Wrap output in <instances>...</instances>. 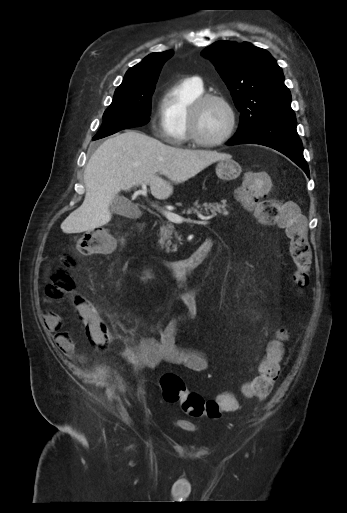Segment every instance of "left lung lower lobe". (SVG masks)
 <instances>
[{
	"instance_id": "left-lung-lower-lobe-1",
	"label": "left lung lower lobe",
	"mask_w": 347,
	"mask_h": 513,
	"mask_svg": "<svg viewBox=\"0 0 347 513\" xmlns=\"http://www.w3.org/2000/svg\"><path fill=\"white\" fill-rule=\"evenodd\" d=\"M296 126V117L267 120L243 135H235L227 145L259 144L271 147L290 158L309 177V168L303 156V146Z\"/></svg>"
}]
</instances>
